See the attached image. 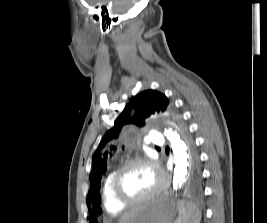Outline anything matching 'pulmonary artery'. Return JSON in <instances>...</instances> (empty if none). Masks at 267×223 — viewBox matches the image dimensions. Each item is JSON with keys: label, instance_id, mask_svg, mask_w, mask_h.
<instances>
[{"label": "pulmonary artery", "instance_id": "1", "mask_svg": "<svg viewBox=\"0 0 267 223\" xmlns=\"http://www.w3.org/2000/svg\"><path fill=\"white\" fill-rule=\"evenodd\" d=\"M148 141L150 143H152L153 145H156V146H162L163 145V140L157 135H153V134L150 135L148 137Z\"/></svg>", "mask_w": 267, "mask_h": 223}]
</instances>
